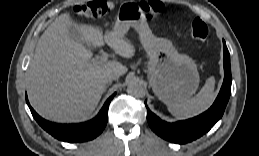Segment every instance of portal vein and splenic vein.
I'll return each mask as SVG.
<instances>
[{"instance_id":"1","label":"portal vein and splenic vein","mask_w":259,"mask_h":156,"mask_svg":"<svg viewBox=\"0 0 259 156\" xmlns=\"http://www.w3.org/2000/svg\"><path fill=\"white\" fill-rule=\"evenodd\" d=\"M108 61V55L103 53L101 56L91 60V63L97 66H102Z\"/></svg>"}]
</instances>
